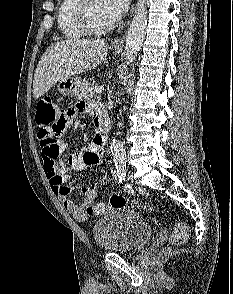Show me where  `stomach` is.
<instances>
[{"instance_id": "0dacf381", "label": "stomach", "mask_w": 233, "mask_h": 294, "mask_svg": "<svg viewBox=\"0 0 233 294\" xmlns=\"http://www.w3.org/2000/svg\"><path fill=\"white\" fill-rule=\"evenodd\" d=\"M115 53H119V49H114ZM82 82L77 76H70L58 82L57 88L61 95L65 97H77L80 92Z\"/></svg>"}]
</instances>
